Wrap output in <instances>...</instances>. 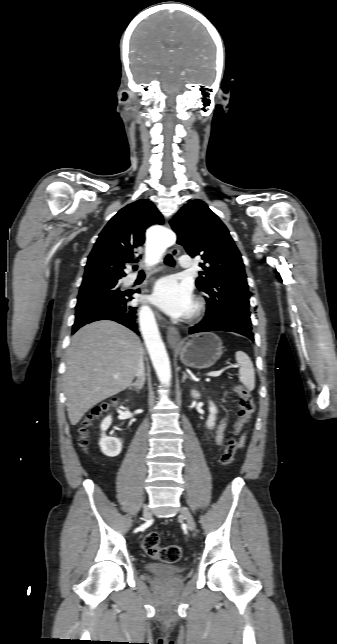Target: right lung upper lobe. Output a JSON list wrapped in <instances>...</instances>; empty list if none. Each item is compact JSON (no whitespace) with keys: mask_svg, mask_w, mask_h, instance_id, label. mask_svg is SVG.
Here are the masks:
<instances>
[{"mask_svg":"<svg viewBox=\"0 0 337 644\" xmlns=\"http://www.w3.org/2000/svg\"><path fill=\"white\" fill-rule=\"evenodd\" d=\"M153 224H163V217L152 202L140 199L122 208L99 234L83 281L124 277L126 264L135 260L145 241V230Z\"/></svg>","mask_w":337,"mask_h":644,"instance_id":"obj_1","label":"right lung upper lobe"}]
</instances>
